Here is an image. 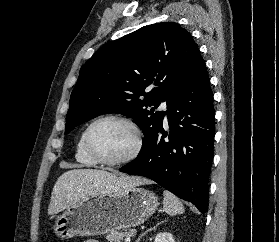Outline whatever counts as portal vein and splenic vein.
<instances>
[{
	"label": "portal vein and splenic vein",
	"mask_w": 279,
	"mask_h": 242,
	"mask_svg": "<svg viewBox=\"0 0 279 242\" xmlns=\"http://www.w3.org/2000/svg\"><path fill=\"white\" fill-rule=\"evenodd\" d=\"M130 241H131L130 237L125 238V242H130Z\"/></svg>",
	"instance_id": "1"
}]
</instances>
